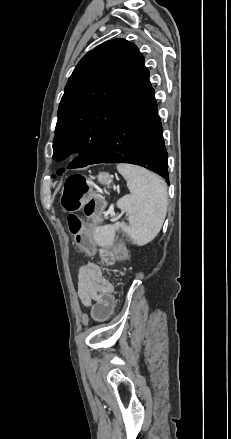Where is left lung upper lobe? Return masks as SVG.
<instances>
[{"instance_id":"5c2ea615","label":"left lung upper lobe","mask_w":231,"mask_h":439,"mask_svg":"<svg viewBox=\"0 0 231 439\" xmlns=\"http://www.w3.org/2000/svg\"><path fill=\"white\" fill-rule=\"evenodd\" d=\"M148 74L137 47L124 39L106 41L88 52L70 76L59 104L53 159L79 152L68 168L87 166Z\"/></svg>"}]
</instances>
